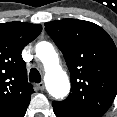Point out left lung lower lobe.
<instances>
[{
    "instance_id": "obj_1",
    "label": "left lung lower lobe",
    "mask_w": 117,
    "mask_h": 117,
    "mask_svg": "<svg viewBox=\"0 0 117 117\" xmlns=\"http://www.w3.org/2000/svg\"><path fill=\"white\" fill-rule=\"evenodd\" d=\"M52 106L54 108V113L57 117H82V116L74 114L70 111L64 110L54 104H52Z\"/></svg>"
}]
</instances>
